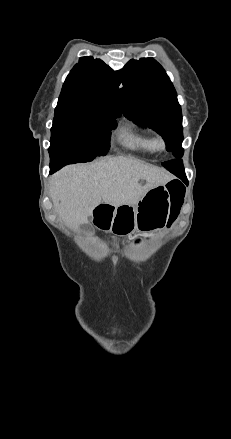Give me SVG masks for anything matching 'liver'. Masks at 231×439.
<instances>
[{
	"instance_id": "liver-1",
	"label": "liver",
	"mask_w": 231,
	"mask_h": 439,
	"mask_svg": "<svg viewBox=\"0 0 231 439\" xmlns=\"http://www.w3.org/2000/svg\"><path fill=\"white\" fill-rule=\"evenodd\" d=\"M172 179L163 168L117 156L90 166H66L51 178L50 194L55 212L70 228L77 229L88 222L99 204L135 206L148 190Z\"/></svg>"
}]
</instances>
